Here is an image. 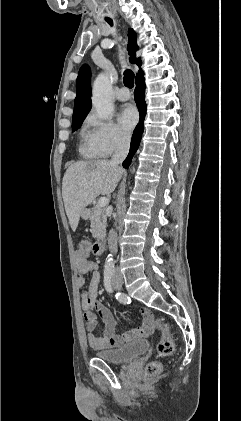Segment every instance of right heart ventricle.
Segmentation results:
<instances>
[{
  "label": "right heart ventricle",
  "instance_id": "right-heart-ventricle-1",
  "mask_svg": "<svg viewBox=\"0 0 241 421\" xmlns=\"http://www.w3.org/2000/svg\"><path fill=\"white\" fill-rule=\"evenodd\" d=\"M83 142L80 146V151L82 154L86 155V156H95V154L93 153V150L89 144L88 138H87V134L83 133Z\"/></svg>",
  "mask_w": 241,
  "mask_h": 421
}]
</instances>
